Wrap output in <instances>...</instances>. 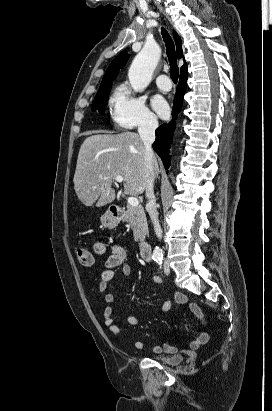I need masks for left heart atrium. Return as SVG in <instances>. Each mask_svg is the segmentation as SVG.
Returning <instances> with one entry per match:
<instances>
[{
    "label": "left heart atrium",
    "instance_id": "39dd6f15",
    "mask_svg": "<svg viewBox=\"0 0 272 411\" xmlns=\"http://www.w3.org/2000/svg\"><path fill=\"white\" fill-rule=\"evenodd\" d=\"M152 106L160 117H166L168 115L169 107L164 99L155 97L152 101Z\"/></svg>",
    "mask_w": 272,
    "mask_h": 411
}]
</instances>
